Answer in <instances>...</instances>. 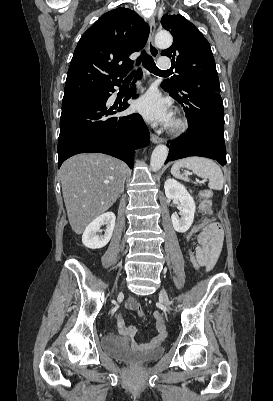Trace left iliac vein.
<instances>
[{
	"label": "left iliac vein",
	"instance_id": "1",
	"mask_svg": "<svg viewBox=\"0 0 273 401\" xmlns=\"http://www.w3.org/2000/svg\"><path fill=\"white\" fill-rule=\"evenodd\" d=\"M160 298H161L162 302L164 303V306H165L166 310L170 311V301L168 299L167 292H166L165 289L161 290Z\"/></svg>",
	"mask_w": 273,
	"mask_h": 401
}]
</instances>
